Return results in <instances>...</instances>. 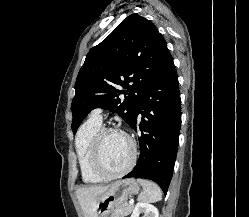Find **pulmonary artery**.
<instances>
[{
  "label": "pulmonary artery",
  "mask_w": 249,
  "mask_h": 217,
  "mask_svg": "<svg viewBox=\"0 0 249 217\" xmlns=\"http://www.w3.org/2000/svg\"><path fill=\"white\" fill-rule=\"evenodd\" d=\"M91 117L98 120V121H102V119H103L102 110L99 109V108L93 110L92 113H91Z\"/></svg>",
  "instance_id": "obj_1"
}]
</instances>
